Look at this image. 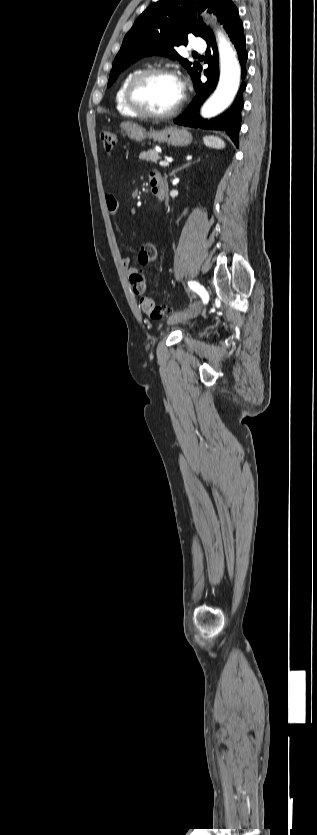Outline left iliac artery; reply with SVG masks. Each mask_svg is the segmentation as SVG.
<instances>
[{"mask_svg":"<svg viewBox=\"0 0 317 835\" xmlns=\"http://www.w3.org/2000/svg\"><path fill=\"white\" fill-rule=\"evenodd\" d=\"M188 285L193 291L199 294L200 297L204 299V301H208V293L200 283L196 281H189Z\"/></svg>","mask_w":317,"mask_h":835,"instance_id":"44dca946","label":"left iliac artery"}]
</instances>
